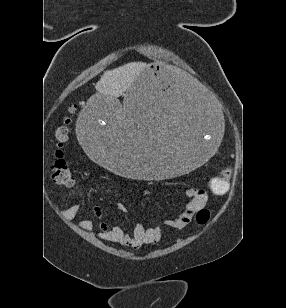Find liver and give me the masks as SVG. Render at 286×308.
<instances>
[{
	"instance_id": "1",
	"label": "liver",
	"mask_w": 286,
	"mask_h": 308,
	"mask_svg": "<svg viewBox=\"0 0 286 308\" xmlns=\"http://www.w3.org/2000/svg\"><path fill=\"white\" fill-rule=\"evenodd\" d=\"M147 65L142 62H132L113 70L105 71L96 84V90L107 100L117 102L118 97L124 95L138 74ZM120 116V123L125 124V113ZM128 113V112H127Z\"/></svg>"
}]
</instances>
